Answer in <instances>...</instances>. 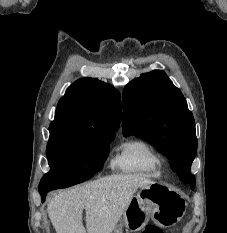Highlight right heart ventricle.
Wrapping results in <instances>:
<instances>
[{"instance_id": "e07e8e85", "label": "right heart ventricle", "mask_w": 227, "mask_h": 233, "mask_svg": "<svg viewBox=\"0 0 227 233\" xmlns=\"http://www.w3.org/2000/svg\"><path fill=\"white\" fill-rule=\"evenodd\" d=\"M112 166L125 173L157 179L163 175V157L145 140L132 139L121 143Z\"/></svg>"}]
</instances>
